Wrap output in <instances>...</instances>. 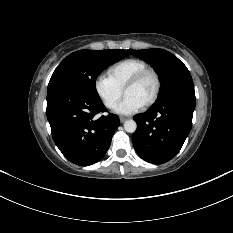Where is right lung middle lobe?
Masks as SVG:
<instances>
[{
  "instance_id": "right-lung-middle-lobe-1",
  "label": "right lung middle lobe",
  "mask_w": 233,
  "mask_h": 233,
  "mask_svg": "<svg viewBox=\"0 0 233 233\" xmlns=\"http://www.w3.org/2000/svg\"><path fill=\"white\" fill-rule=\"evenodd\" d=\"M128 54V50H79L68 55L55 69L47 93L68 90L100 99L95 81L108 66Z\"/></svg>"
}]
</instances>
